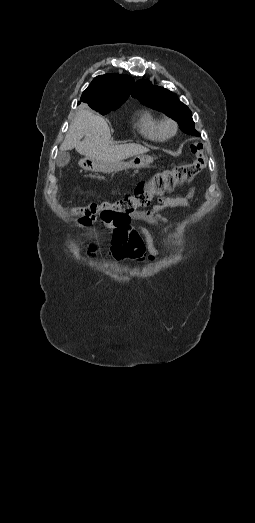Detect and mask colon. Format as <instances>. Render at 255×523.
Here are the masks:
<instances>
[{"label": "colon", "mask_w": 255, "mask_h": 523, "mask_svg": "<svg viewBox=\"0 0 255 523\" xmlns=\"http://www.w3.org/2000/svg\"><path fill=\"white\" fill-rule=\"evenodd\" d=\"M190 148L195 155L191 163L154 174L151 179L138 183L133 194L114 202L91 203L75 207L72 208L73 213L85 224L97 218L108 225L125 224L132 213L151 207L155 198L163 199L175 187L192 181L206 167L203 145L196 142L192 143Z\"/></svg>", "instance_id": "obj_1"}]
</instances>
